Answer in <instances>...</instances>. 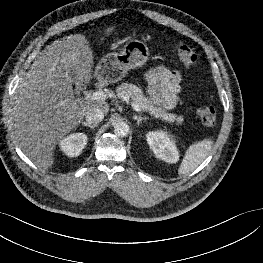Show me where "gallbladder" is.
<instances>
[{
	"mask_svg": "<svg viewBox=\"0 0 263 263\" xmlns=\"http://www.w3.org/2000/svg\"><path fill=\"white\" fill-rule=\"evenodd\" d=\"M71 78L73 80V83H77V79H76L75 75H71Z\"/></svg>",
	"mask_w": 263,
	"mask_h": 263,
	"instance_id": "1",
	"label": "gallbladder"
}]
</instances>
